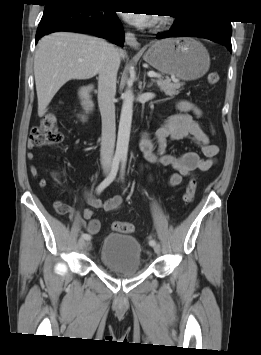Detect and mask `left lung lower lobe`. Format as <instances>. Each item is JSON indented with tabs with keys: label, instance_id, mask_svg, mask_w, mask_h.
Returning a JSON list of instances; mask_svg holds the SVG:
<instances>
[{
	"label": "left lung lower lobe",
	"instance_id": "left-lung-lower-lobe-1",
	"mask_svg": "<svg viewBox=\"0 0 261 355\" xmlns=\"http://www.w3.org/2000/svg\"><path fill=\"white\" fill-rule=\"evenodd\" d=\"M176 18L171 30L168 33H158L156 38L163 39L174 36L202 37L222 43L232 52V28L229 20L217 18Z\"/></svg>",
	"mask_w": 261,
	"mask_h": 355
}]
</instances>
